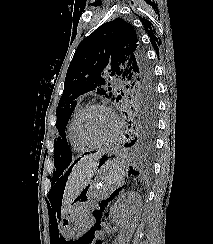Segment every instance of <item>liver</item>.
<instances>
[{
    "mask_svg": "<svg viewBox=\"0 0 213 244\" xmlns=\"http://www.w3.org/2000/svg\"><path fill=\"white\" fill-rule=\"evenodd\" d=\"M104 152H97L81 158L73 167L63 194L62 217L72 201L89 184L98 167V161Z\"/></svg>",
    "mask_w": 213,
    "mask_h": 244,
    "instance_id": "obj_1",
    "label": "liver"
}]
</instances>
